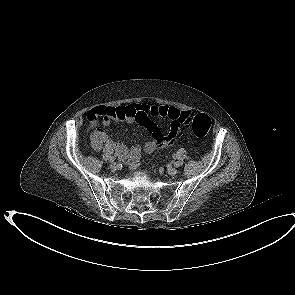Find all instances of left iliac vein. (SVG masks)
<instances>
[{"instance_id":"left-iliac-vein-1","label":"left iliac vein","mask_w":295,"mask_h":295,"mask_svg":"<svg viewBox=\"0 0 295 295\" xmlns=\"http://www.w3.org/2000/svg\"><path fill=\"white\" fill-rule=\"evenodd\" d=\"M167 172H168V174L171 175V176H174V175H176V174L178 173L177 169L174 168V167H170V168H168Z\"/></svg>"}]
</instances>
